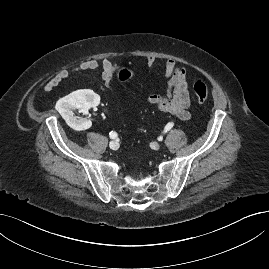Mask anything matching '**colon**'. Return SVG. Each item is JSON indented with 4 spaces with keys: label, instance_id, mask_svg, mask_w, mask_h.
Segmentation results:
<instances>
[{
    "label": "colon",
    "instance_id": "colon-1",
    "mask_svg": "<svg viewBox=\"0 0 269 269\" xmlns=\"http://www.w3.org/2000/svg\"><path fill=\"white\" fill-rule=\"evenodd\" d=\"M132 77V73L127 69H121L116 74V80L118 82H126ZM194 96L198 103H204L207 101L209 92L206 85L202 82H196L193 86Z\"/></svg>",
    "mask_w": 269,
    "mask_h": 269
}]
</instances>
